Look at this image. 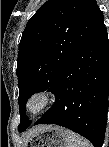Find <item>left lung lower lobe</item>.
Masks as SVG:
<instances>
[{"instance_id":"left-lung-lower-lobe-1","label":"left lung lower lobe","mask_w":109,"mask_h":147,"mask_svg":"<svg viewBox=\"0 0 109 147\" xmlns=\"http://www.w3.org/2000/svg\"><path fill=\"white\" fill-rule=\"evenodd\" d=\"M53 93L55 104L34 125H60L102 147L109 96V42L103 20L68 59Z\"/></svg>"}]
</instances>
